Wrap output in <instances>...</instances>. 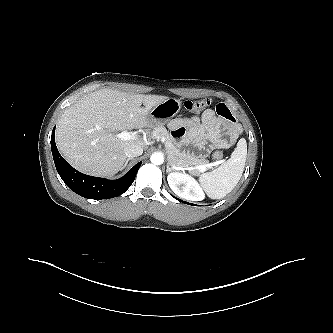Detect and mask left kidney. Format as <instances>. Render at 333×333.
Listing matches in <instances>:
<instances>
[{
  "instance_id": "5707ae66",
  "label": "left kidney",
  "mask_w": 333,
  "mask_h": 333,
  "mask_svg": "<svg viewBox=\"0 0 333 333\" xmlns=\"http://www.w3.org/2000/svg\"><path fill=\"white\" fill-rule=\"evenodd\" d=\"M167 180L171 190L181 198L192 201H201L205 198L198 182L187 174L171 173Z\"/></svg>"
}]
</instances>
